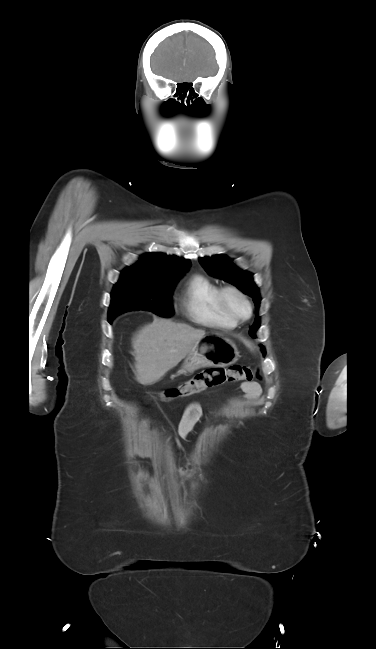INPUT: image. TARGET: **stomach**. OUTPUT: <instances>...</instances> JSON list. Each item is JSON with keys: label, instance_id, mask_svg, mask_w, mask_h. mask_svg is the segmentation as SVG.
<instances>
[{"label": "stomach", "instance_id": "0dacf381", "mask_svg": "<svg viewBox=\"0 0 376 649\" xmlns=\"http://www.w3.org/2000/svg\"><path fill=\"white\" fill-rule=\"evenodd\" d=\"M240 357L236 344L223 334H205L192 346L179 374L193 373L203 367H226Z\"/></svg>", "mask_w": 376, "mask_h": 649}]
</instances>
